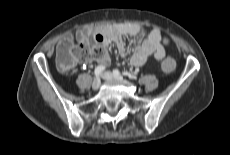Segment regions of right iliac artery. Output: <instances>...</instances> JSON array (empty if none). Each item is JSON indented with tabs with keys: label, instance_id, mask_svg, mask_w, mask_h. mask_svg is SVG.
<instances>
[{
	"label": "right iliac artery",
	"instance_id": "obj_1",
	"mask_svg": "<svg viewBox=\"0 0 230 155\" xmlns=\"http://www.w3.org/2000/svg\"><path fill=\"white\" fill-rule=\"evenodd\" d=\"M104 70H105L104 66H101V65L97 66L94 70L95 76L99 77L103 73Z\"/></svg>",
	"mask_w": 230,
	"mask_h": 155
}]
</instances>
